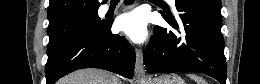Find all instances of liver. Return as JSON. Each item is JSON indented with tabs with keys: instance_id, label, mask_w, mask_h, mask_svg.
Returning a JSON list of instances; mask_svg holds the SVG:
<instances>
[{
	"instance_id": "obj_1",
	"label": "liver",
	"mask_w": 260,
	"mask_h": 84,
	"mask_svg": "<svg viewBox=\"0 0 260 84\" xmlns=\"http://www.w3.org/2000/svg\"><path fill=\"white\" fill-rule=\"evenodd\" d=\"M59 84H121L118 76L100 69H81L59 81Z\"/></svg>"
}]
</instances>
